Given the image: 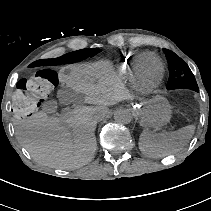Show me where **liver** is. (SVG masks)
I'll use <instances>...</instances> for the list:
<instances>
[{
    "instance_id": "obj_1",
    "label": "liver",
    "mask_w": 211,
    "mask_h": 211,
    "mask_svg": "<svg viewBox=\"0 0 211 211\" xmlns=\"http://www.w3.org/2000/svg\"><path fill=\"white\" fill-rule=\"evenodd\" d=\"M90 65H74L69 75H60L77 93L84 94V106L72 112L65 121L48 117L43 111L15 123L16 137L32 157L43 165L57 169H75L91 161L97 147L96 115L101 119L107 106L126 99L129 95L118 81L95 83Z\"/></svg>"
}]
</instances>
